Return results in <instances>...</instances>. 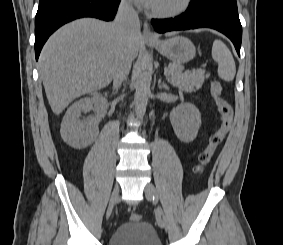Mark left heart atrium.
Masks as SVG:
<instances>
[{
    "mask_svg": "<svg viewBox=\"0 0 283 245\" xmlns=\"http://www.w3.org/2000/svg\"><path fill=\"white\" fill-rule=\"evenodd\" d=\"M133 1L145 7H152L155 0H133Z\"/></svg>",
    "mask_w": 283,
    "mask_h": 245,
    "instance_id": "obj_1",
    "label": "left heart atrium"
}]
</instances>
